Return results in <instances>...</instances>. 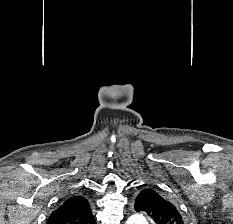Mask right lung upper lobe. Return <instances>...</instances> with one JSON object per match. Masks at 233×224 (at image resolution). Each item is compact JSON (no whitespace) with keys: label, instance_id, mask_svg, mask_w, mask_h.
Segmentation results:
<instances>
[{"label":"right lung upper lobe","instance_id":"right-lung-upper-lobe-1","mask_svg":"<svg viewBox=\"0 0 233 224\" xmlns=\"http://www.w3.org/2000/svg\"><path fill=\"white\" fill-rule=\"evenodd\" d=\"M46 224H96V221L87 200L75 196L54 210Z\"/></svg>","mask_w":233,"mask_h":224}]
</instances>
